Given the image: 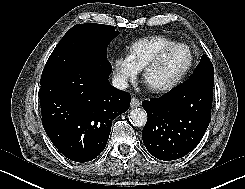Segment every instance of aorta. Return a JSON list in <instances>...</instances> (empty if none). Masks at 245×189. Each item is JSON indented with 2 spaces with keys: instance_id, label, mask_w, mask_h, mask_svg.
Returning <instances> with one entry per match:
<instances>
[{
  "instance_id": "obj_1",
  "label": "aorta",
  "mask_w": 245,
  "mask_h": 189,
  "mask_svg": "<svg viewBox=\"0 0 245 189\" xmlns=\"http://www.w3.org/2000/svg\"><path fill=\"white\" fill-rule=\"evenodd\" d=\"M129 118L134 126L142 127L147 122V113L142 108H134L130 111Z\"/></svg>"
}]
</instances>
